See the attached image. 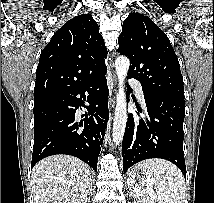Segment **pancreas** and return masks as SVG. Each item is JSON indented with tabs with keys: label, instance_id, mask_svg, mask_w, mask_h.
Returning <instances> with one entry per match:
<instances>
[{
	"label": "pancreas",
	"instance_id": "1",
	"mask_svg": "<svg viewBox=\"0 0 214 203\" xmlns=\"http://www.w3.org/2000/svg\"><path fill=\"white\" fill-rule=\"evenodd\" d=\"M140 203H146V202L143 200V201H140Z\"/></svg>",
	"mask_w": 214,
	"mask_h": 203
}]
</instances>
